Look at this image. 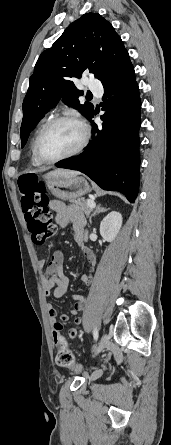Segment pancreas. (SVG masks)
I'll list each match as a JSON object with an SVG mask.
<instances>
[{"label": "pancreas", "mask_w": 171, "mask_h": 445, "mask_svg": "<svg viewBox=\"0 0 171 445\" xmlns=\"http://www.w3.org/2000/svg\"><path fill=\"white\" fill-rule=\"evenodd\" d=\"M71 205L68 207V215L71 221H75L79 217H83L84 214L86 216H89L90 214V207L87 204V200L84 198H80L77 200H71Z\"/></svg>", "instance_id": "1"}]
</instances>
